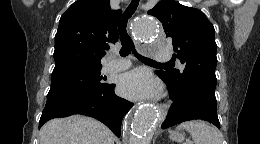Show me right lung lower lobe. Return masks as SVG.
Returning a JSON list of instances; mask_svg holds the SVG:
<instances>
[{
    "label": "right lung lower lobe",
    "instance_id": "obj_1",
    "mask_svg": "<svg viewBox=\"0 0 260 144\" xmlns=\"http://www.w3.org/2000/svg\"><path fill=\"white\" fill-rule=\"evenodd\" d=\"M114 87L115 84H110L93 92L65 91L48 94L39 128L53 118L82 114L101 121L120 137L122 119L133 103L115 95Z\"/></svg>",
    "mask_w": 260,
    "mask_h": 144
}]
</instances>
